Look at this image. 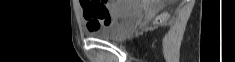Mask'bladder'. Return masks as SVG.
<instances>
[{"instance_id": "obj_1", "label": "bladder", "mask_w": 235, "mask_h": 62, "mask_svg": "<svg viewBox=\"0 0 235 62\" xmlns=\"http://www.w3.org/2000/svg\"><path fill=\"white\" fill-rule=\"evenodd\" d=\"M140 19L138 4L127 2L108 23L89 31V35L101 40H120L137 26Z\"/></svg>"}]
</instances>
